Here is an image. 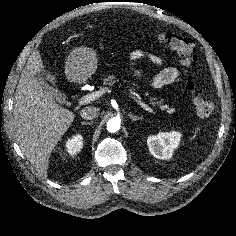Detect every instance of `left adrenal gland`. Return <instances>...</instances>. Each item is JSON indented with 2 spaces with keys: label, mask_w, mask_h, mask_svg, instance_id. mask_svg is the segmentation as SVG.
Wrapping results in <instances>:
<instances>
[{
  "label": "left adrenal gland",
  "mask_w": 236,
  "mask_h": 236,
  "mask_svg": "<svg viewBox=\"0 0 236 236\" xmlns=\"http://www.w3.org/2000/svg\"><path fill=\"white\" fill-rule=\"evenodd\" d=\"M128 116L133 120V121H137V120H142L143 117H138L136 115H133L131 112H129Z\"/></svg>",
  "instance_id": "1"
}]
</instances>
